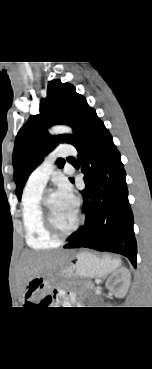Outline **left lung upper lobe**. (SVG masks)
Segmentation results:
<instances>
[{
	"mask_svg": "<svg viewBox=\"0 0 152 369\" xmlns=\"http://www.w3.org/2000/svg\"><path fill=\"white\" fill-rule=\"evenodd\" d=\"M95 112L86 99L76 93L73 85L52 80L48 84L47 97L41 99L40 114L30 116L19 130L13 151L16 195L21 199L23 187L31 172L59 143L75 145L89 117ZM54 124H66L73 128V135L52 136L47 128ZM56 164L64 166L58 159ZM72 180V179H70Z\"/></svg>",
	"mask_w": 152,
	"mask_h": 369,
	"instance_id": "left-lung-upper-lobe-1",
	"label": "left lung upper lobe"
}]
</instances>
